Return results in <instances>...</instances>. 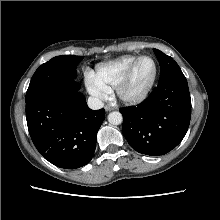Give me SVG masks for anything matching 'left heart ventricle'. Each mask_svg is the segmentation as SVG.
I'll list each match as a JSON object with an SVG mask.
<instances>
[{
    "label": "left heart ventricle",
    "mask_w": 220,
    "mask_h": 220,
    "mask_svg": "<svg viewBox=\"0 0 220 220\" xmlns=\"http://www.w3.org/2000/svg\"><path fill=\"white\" fill-rule=\"evenodd\" d=\"M154 73V63L151 59H143L136 67L127 93L136 94L142 91L151 80Z\"/></svg>",
    "instance_id": "obj_1"
}]
</instances>
